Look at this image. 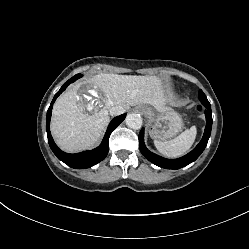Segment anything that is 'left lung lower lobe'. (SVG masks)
Returning <instances> with one entry per match:
<instances>
[{
    "label": "left lung lower lobe",
    "mask_w": 249,
    "mask_h": 249,
    "mask_svg": "<svg viewBox=\"0 0 249 249\" xmlns=\"http://www.w3.org/2000/svg\"><path fill=\"white\" fill-rule=\"evenodd\" d=\"M199 100L206 107V110H205L206 127H205V131H204V135H203L201 141L199 142V144L191 152H189L187 155H185L181 158L166 159V158H163L159 155H156V154L150 152L146 148V146L144 144V128H142L140 133H139L138 138H139V148H140L141 153L144 155V157H146L150 162H152L153 164H155L161 168L179 169V168L187 166L188 164L195 161L200 156V154L205 149V147L208 143V139H209L210 134H211L212 113H211L210 103L207 100L206 96L205 95L201 96L199 98Z\"/></svg>",
    "instance_id": "1"
}]
</instances>
